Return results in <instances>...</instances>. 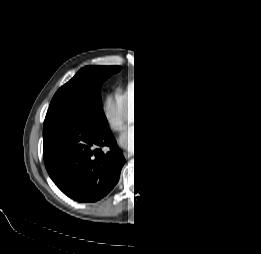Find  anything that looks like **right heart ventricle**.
<instances>
[{
    "label": "right heart ventricle",
    "mask_w": 261,
    "mask_h": 254,
    "mask_svg": "<svg viewBox=\"0 0 261 254\" xmlns=\"http://www.w3.org/2000/svg\"><path fill=\"white\" fill-rule=\"evenodd\" d=\"M146 86L141 83V85L133 86L132 90L127 94L128 100L133 105V108L141 110L143 109L151 100L149 96V86L147 84V93Z\"/></svg>",
    "instance_id": "obj_1"
}]
</instances>
